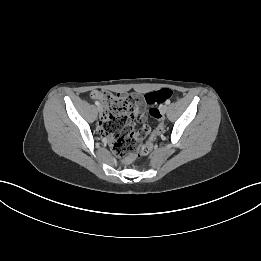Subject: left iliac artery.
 <instances>
[{
	"label": "left iliac artery",
	"instance_id": "44dca946",
	"mask_svg": "<svg viewBox=\"0 0 261 261\" xmlns=\"http://www.w3.org/2000/svg\"><path fill=\"white\" fill-rule=\"evenodd\" d=\"M165 103H166V104H170V100H169V99L166 100Z\"/></svg>",
	"mask_w": 261,
	"mask_h": 261
}]
</instances>
